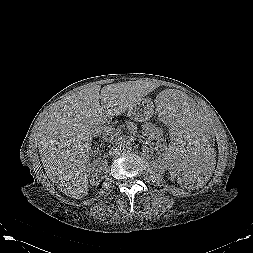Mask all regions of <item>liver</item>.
Instances as JSON below:
<instances>
[{
    "instance_id": "6515ba94",
    "label": "liver",
    "mask_w": 253,
    "mask_h": 253,
    "mask_svg": "<svg viewBox=\"0 0 253 253\" xmlns=\"http://www.w3.org/2000/svg\"><path fill=\"white\" fill-rule=\"evenodd\" d=\"M153 87L139 81L92 85L61 101L40 123L39 152L43 167L64 194L82 199L88 194L87 163L93 128L108 117L133 108Z\"/></svg>"
}]
</instances>
